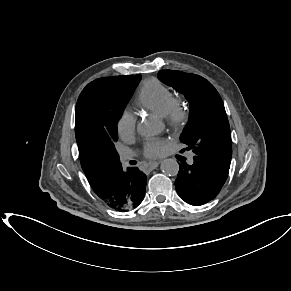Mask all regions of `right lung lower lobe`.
I'll return each mask as SVG.
<instances>
[{"instance_id":"obj_1","label":"right lung lower lobe","mask_w":291,"mask_h":291,"mask_svg":"<svg viewBox=\"0 0 291 291\" xmlns=\"http://www.w3.org/2000/svg\"><path fill=\"white\" fill-rule=\"evenodd\" d=\"M113 188L104 202L112 209L125 212L136 208L143 200L146 188V175L137 167L122 170V165L111 174Z\"/></svg>"}]
</instances>
